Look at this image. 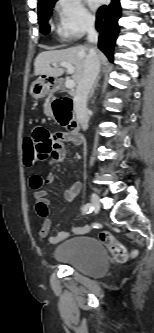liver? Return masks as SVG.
Masks as SVG:
<instances>
[{"label":"liver","instance_id":"liver-1","mask_svg":"<svg viewBox=\"0 0 154 333\" xmlns=\"http://www.w3.org/2000/svg\"><path fill=\"white\" fill-rule=\"evenodd\" d=\"M89 52V47L78 45L62 50H52L41 52L34 62V74L46 75L48 77H59L63 75L64 68L59 66L51 67V64L61 62L70 63L74 67L73 80L79 82L84 73L85 60ZM97 56L103 63L107 62L106 57L97 52Z\"/></svg>","mask_w":154,"mask_h":333}]
</instances>
